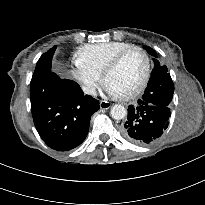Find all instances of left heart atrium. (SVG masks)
Here are the masks:
<instances>
[{"label":"left heart atrium","mask_w":205,"mask_h":205,"mask_svg":"<svg viewBox=\"0 0 205 205\" xmlns=\"http://www.w3.org/2000/svg\"><path fill=\"white\" fill-rule=\"evenodd\" d=\"M106 90L107 92L110 94V95H113V96H118L113 90H111L109 87L106 86Z\"/></svg>","instance_id":"39dd6f15"}]
</instances>
